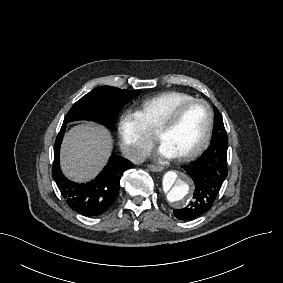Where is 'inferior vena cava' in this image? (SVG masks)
Segmentation results:
<instances>
[{"mask_svg":"<svg viewBox=\"0 0 283 283\" xmlns=\"http://www.w3.org/2000/svg\"><path fill=\"white\" fill-rule=\"evenodd\" d=\"M148 152L138 146H131L124 152V157L133 164H141L147 158Z\"/></svg>","mask_w":283,"mask_h":283,"instance_id":"602c4592","label":"inferior vena cava"}]
</instances>
